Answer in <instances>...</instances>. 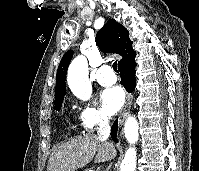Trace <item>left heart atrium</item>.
I'll return each instance as SVG.
<instances>
[{
    "label": "left heart atrium",
    "instance_id": "1",
    "mask_svg": "<svg viewBox=\"0 0 199 171\" xmlns=\"http://www.w3.org/2000/svg\"><path fill=\"white\" fill-rule=\"evenodd\" d=\"M124 100V91L119 86L105 89L100 96L102 109L109 116L114 115L121 109Z\"/></svg>",
    "mask_w": 199,
    "mask_h": 171
}]
</instances>
